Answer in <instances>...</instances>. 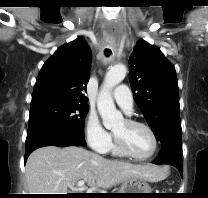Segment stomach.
Returning a JSON list of instances; mask_svg holds the SVG:
<instances>
[{"instance_id":"obj_1","label":"stomach","mask_w":208,"mask_h":198,"mask_svg":"<svg viewBox=\"0 0 208 198\" xmlns=\"http://www.w3.org/2000/svg\"><path fill=\"white\" fill-rule=\"evenodd\" d=\"M123 197L127 198H145L146 194H129V193H152L149 184L140 178H131L125 181L119 192Z\"/></svg>"}]
</instances>
